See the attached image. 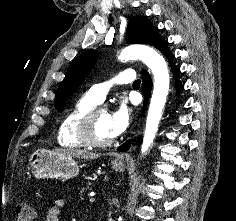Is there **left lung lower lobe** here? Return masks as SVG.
Here are the masks:
<instances>
[{
    "mask_svg": "<svg viewBox=\"0 0 236 221\" xmlns=\"http://www.w3.org/2000/svg\"><path fill=\"white\" fill-rule=\"evenodd\" d=\"M153 46H155L156 48L161 50L169 60H171L173 58V55L167 51V42L165 40L158 38L153 43ZM171 68H172L173 73L175 75L176 90L178 92H180L182 90V85L178 82L179 69L174 65H171ZM141 74H142V79H143L142 94L144 95V98H145V106L142 110V113H143L146 108L147 101L150 97L151 88H152V81H151L150 75L148 74V72L146 70H142ZM129 147H130V141H127L126 143H124L122 146H120L118 148V151H121V152L127 151L129 149Z\"/></svg>",
    "mask_w": 236,
    "mask_h": 221,
    "instance_id": "0a47b994",
    "label": "left lung lower lobe"
}]
</instances>
